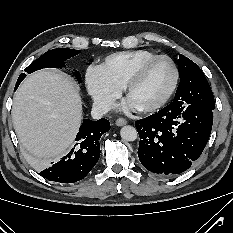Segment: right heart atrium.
Returning a JSON list of instances; mask_svg holds the SVG:
<instances>
[{
    "mask_svg": "<svg viewBox=\"0 0 233 233\" xmlns=\"http://www.w3.org/2000/svg\"><path fill=\"white\" fill-rule=\"evenodd\" d=\"M85 81L94 106L100 111L110 109L121 87L108 77L102 66H89L86 70Z\"/></svg>",
    "mask_w": 233,
    "mask_h": 233,
    "instance_id": "right-heart-atrium-1",
    "label": "right heart atrium"
}]
</instances>
